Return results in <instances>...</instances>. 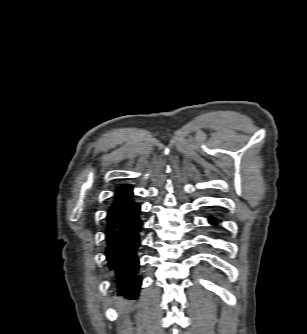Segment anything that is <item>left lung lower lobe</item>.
<instances>
[{"label":"left lung lower lobe","instance_id":"0a47b994","mask_svg":"<svg viewBox=\"0 0 307 334\" xmlns=\"http://www.w3.org/2000/svg\"><path fill=\"white\" fill-rule=\"evenodd\" d=\"M209 220H210V223H211L212 225H217V222H216V219H215V218L210 217Z\"/></svg>","mask_w":307,"mask_h":334}]
</instances>
